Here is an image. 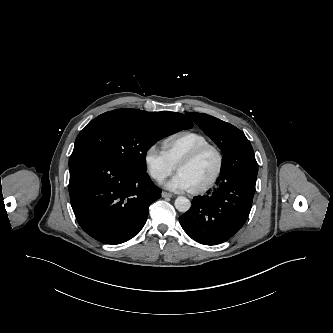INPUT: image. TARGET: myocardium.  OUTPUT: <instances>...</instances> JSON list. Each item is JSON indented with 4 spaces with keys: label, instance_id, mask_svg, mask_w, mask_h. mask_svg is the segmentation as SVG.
<instances>
[{
    "label": "myocardium",
    "instance_id": "obj_1",
    "mask_svg": "<svg viewBox=\"0 0 333 333\" xmlns=\"http://www.w3.org/2000/svg\"><path fill=\"white\" fill-rule=\"evenodd\" d=\"M207 151H213L215 153V155L217 157V167H216V170H215L214 174L212 175V177L204 185L191 190V192L194 194H201V193L208 191L210 188H212L215 185V183L219 179V177L222 173V170H223V166H224V157H223L221 150L213 144H210V143L205 144V145L197 147L196 149H194L193 151L188 153L177 164V171H179V169L182 166L194 162Z\"/></svg>",
    "mask_w": 333,
    "mask_h": 333
}]
</instances>
